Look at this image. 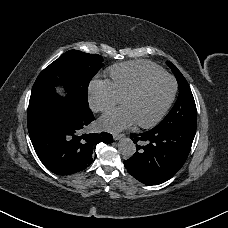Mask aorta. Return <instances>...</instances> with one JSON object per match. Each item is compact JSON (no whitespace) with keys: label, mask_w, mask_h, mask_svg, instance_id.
Segmentation results:
<instances>
[{"label":"aorta","mask_w":228,"mask_h":228,"mask_svg":"<svg viewBox=\"0 0 228 228\" xmlns=\"http://www.w3.org/2000/svg\"><path fill=\"white\" fill-rule=\"evenodd\" d=\"M118 150L125 158H130L136 151V146L130 138H122L118 142Z\"/></svg>","instance_id":"1"}]
</instances>
